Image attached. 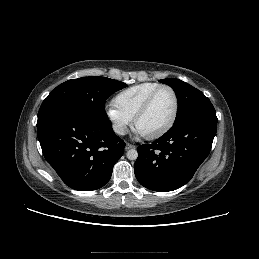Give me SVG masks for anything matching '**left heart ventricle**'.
I'll return each mask as SVG.
<instances>
[{
  "instance_id": "b2bd125f",
  "label": "left heart ventricle",
  "mask_w": 259,
  "mask_h": 259,
  "mask_svg": "<svg viewBox=\"0 0 259 259\" xmlns=\"http://www.w3.org/2000/svg\"><path fill=\"white\" fill-rule=\"evenodd\" d=\"M174 110L172 93L163 89L155 96L150 109L137 124V131L149 135L162 129L170 120Z\"/></svg>"
}]
</instances>
